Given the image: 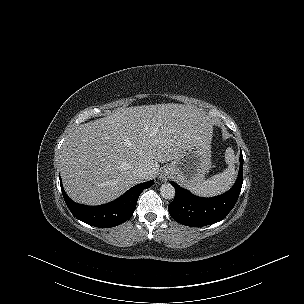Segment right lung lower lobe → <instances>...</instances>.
<instances>
[{
  "instance_id": "right-lung-lower-lobe-1",
  "label": "right lung lower lobe",
  "mask_w": 304,
  "mask_h": 304,
  "mask_svg": "<svg viewBox=\"0 0 304 304\" xmlns=\"http://www.w3.org/2000/svg\"><path fill=\"white\" fill-rule=\"evenodd\" d=\"M154 181L135 185L118 199L101 206H85L73 202L65 193L60 180L62 194L71 213L79 220L95 226L110 228L122 224L134 213L139 195L151 187Z\"/></svg>"
}]
</instances>
